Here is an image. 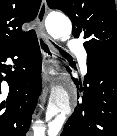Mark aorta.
<instances>
[{
	"label": "aorta",
	"mask_w": 117,
	"mask_h": 136,
	"mask_svg": "<svg viewBox=\"0 0 117 136\" xmlns=\"http://www.w3.org/2000/svg\"><path fill=\"white\" fill-rule=\"evenodd\" d=\"M46 29L54 38L65 41L70 38L72 32L71 21L63 14L52 13L46 21ZM71 112L70 94L62 88L52 90L46 112V121L52 119L63 120Z\"/></svg>",
	"instance_id": "1"
}]
</instances>
